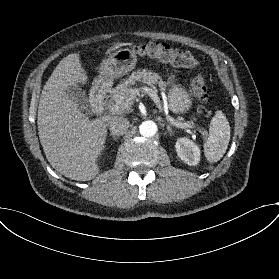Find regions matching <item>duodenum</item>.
Masks as SVG:
<instances>
[{
  "instance_id": "410a0bca",
  "label": "duodenum",
  "mask_w": 279,
  "mask_h": 279,
  "mask_svg": "<svg viewBox=\"0 0 279 279\" xmlns=\"http://www.w3.org/2000/svg\"><path fill=\"white\" fill-rule=\"evenodd\" d=\"M90 105L96 114L102 112L104 108V84L102 82H97L93 86L90 95Z\"/></svg>"
}]
</instances>
